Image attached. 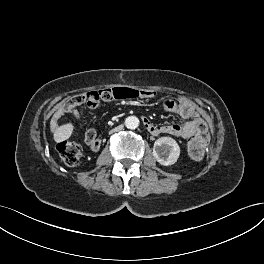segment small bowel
<instances>
[{"mask_svg": "<svg viewBox=\"0 0 264 264\" xmlns=\"http://www.w3.org/2000/svg\"><path fill=\"white\" fill-rule=\"evenodd\" d=\"M154 96H155V92L152 90L145 89V90L140 91L141 98L150 99V98H153ZM83 102L84 100L73 103V102H70V99H69L64 104H62L53 116V119H52L53 129L57 130L59 128V120L65 112H70L76 118H80L81 114L76 107ZM165 105H166L167 110L176 113L178 116L184 119L185 122L183 124H167V125L158 127L154 125L148 118L144 117L143 124L151 135L159 136L161 134H168V135H173V136L187 139L193 136L197 132L199 128V124L190 119L191 111H192V106L190 103L186 101H180L177 103L172 100H167ZM88 106L91 109H95L97 107V105H88ZM71 132H72L71 126L67 124L64 127L63 135L65 137H68L71 135ZM85 141H86V144L93 151L99 150L101 146V141L100 139L97 138L96 132L92 128L86 132Z\"/></svg>", "mask_w": 264, "mask_h": 264, "instance_id": "c3829d8e", "label": "small bowel"}]
</instances>
